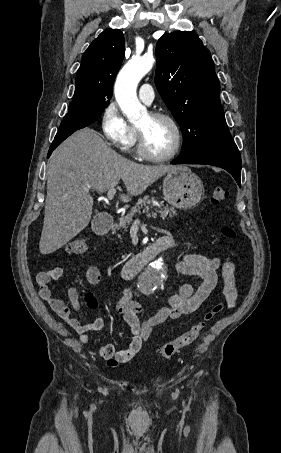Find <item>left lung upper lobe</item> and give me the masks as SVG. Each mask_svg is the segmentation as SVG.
<instances>
[{"mask_svg":"<svg viewBox=\"0 0 281 453\" xmlns=\"http://www.w3.org/2000/svg\"><path fill=\"white\" fill-rule=\"evenodd\" d=\"M156 57L155 84L183 133L180 156L234 146L214 62L197 34H164L157 42Z\"/></svg>","mask_w":281,"mask_h":453,"instance_id":"left-lung-upper-lobe-1","label":"left lung upper lobe"}]
</instances>
